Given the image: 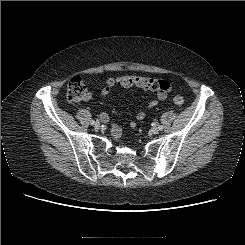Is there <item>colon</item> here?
<instances>
[{
    "instance_id": "1",
    "label": "colon",
    "mask_w": 245,
    "mask_h": 245,
    "mask_svg": "<svg viewBox=\"0 0 245 245\" xmlns=\"http://www.w3.org/2000/svg\"><path fill=\"white\" fill-rule=\"evenodd\" d=\"M109 86L138 87L143 90L154 91L160 94H167L170 91V83L166 80L155 79L147 76L124 75L108 81ZM87 93L86 85L80 76H74L67 84V98L72 102H78L85 98ZM173 102L177 106L184 104L181 96H175Z\"/></svg>"
}]
</instances>
